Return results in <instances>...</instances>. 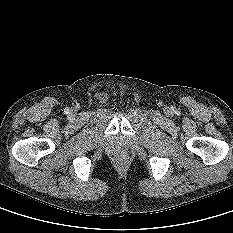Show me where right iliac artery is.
Here are the masks:
<instances>
[{
	"mask_svg": "<svg viewBox=\"0 0 233 233\" xmlns=\"http://www.w3.org/2000/svg\"><path fill=\"white\" fill-rule=\"evenodd\" d=\"M64 112H65V113H68V112H69V108L66 107V108L64 109Z\"/></svg>",
	"mask_w": 233,
	"mask_h": 233,
	"instance_id": "right-iliac-artery-1",
	"label": "right iliac artery"
}]
</instances>
